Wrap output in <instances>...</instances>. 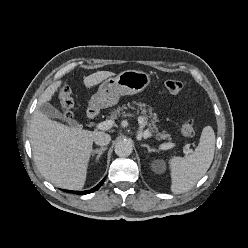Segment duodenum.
<instances>
[{
  "label": "duodenum",
  "mask_w": 248,
  "mask_h": 248,
  "mask_svg": "<svg viewBox=\"0 0 248 248\" xmlns=\"http://www.w3.org/2000/svg\"><path fill=\"white\" fill-rule=\"evenodd\" d=\"M94 116H95L94 110L93 109H89L88 112H87V117L89 119H92V118H94Z\"/></svg>",
  "instance_id": "obj_1"
}]
</instances>
